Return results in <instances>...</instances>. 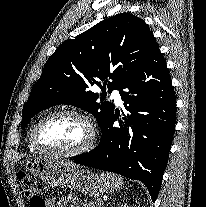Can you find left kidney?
Here are the masks:
<instances>
[{"label": "left kidney", "instance_id": "left-kidney-1", "mask_svg": "<svg viewBox=\"0 0 206 207\" xmlns=\"http://www.w3.org/2000/svg\"><path fill=\"white\" fill-rule=\"evenodd\" d=\"M119 207H129L127 204L121 205Z\"/></svg>", "mask_w": 206, "mask_h": 207}]
</instances>
